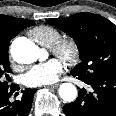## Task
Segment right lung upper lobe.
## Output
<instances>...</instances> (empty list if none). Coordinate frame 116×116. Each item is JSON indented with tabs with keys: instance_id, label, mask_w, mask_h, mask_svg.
<instances>
[{
	"instance_id": "obj_1",
	"label": "right lung upper lobe",
	"mask_w": 116,
	"mask_h": 116,
	"mask_svg": "<svg viewBox=\"0 0 116 116\" xmlns=\"http://www.w3.org/2000/svg\"><path fill=\"white\" fill-rule=\"evenodd\" d=\"M30 20L0 15V44H8L20 31L29 27Z\"/></svg>"
}]
</instances>
